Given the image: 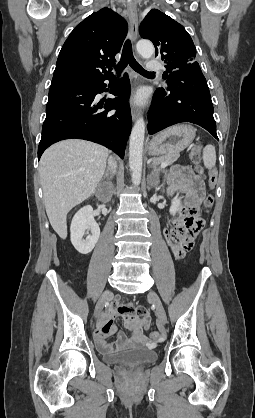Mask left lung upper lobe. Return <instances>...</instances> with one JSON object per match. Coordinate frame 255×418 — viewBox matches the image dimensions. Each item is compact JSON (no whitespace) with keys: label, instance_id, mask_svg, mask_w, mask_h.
I'll list each match as a JSON object with an SVG mask.
<instances>
[{"label":"left lung upper lobe","instance_id":"left-lung-upper-lobe-1","mask_svg":"<svg viewBox=\"0 0 255 418\" xmlns=\"http://www.w3.org/2000/svg\"><path fill=\"white\" fill-rule=\"evenodd\" d=\"M139 32L142 38L153 42L155 55L166 64L162 75L164 83L173 71L199 66L195 61L196 48L188 32L161 11L152 9L141 23Z\"/></svg>","mask_w":255,"mask_h":418}]
</instances>
